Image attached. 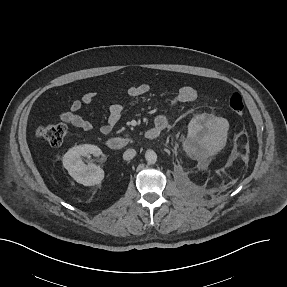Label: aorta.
I'll return each mask as SVG.
<instances>
[{"instance_id": "aorta-1", "label": "aorta", "mask_w": 287, "mask_h": 287, "mask_svg": "<svg viewBox=\"0 0 287 287\" xmlns=\"http://www.w3.org/2000/svg\"><path fill=\"white\" fill-rule=\"evenodd\" d=\"M146 161L150 164H154L157 161V154L153 150H147L145 153Z\"/></svg>"}]
</instances>
